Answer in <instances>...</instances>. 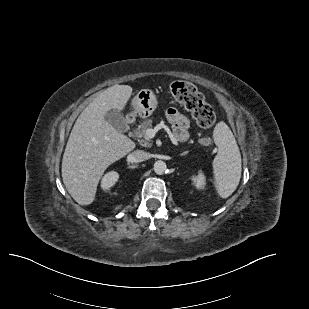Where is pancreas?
<instances>
[{
  "label": "pancreas",
  "mask_w": 309,
  "mask_h": 309,
  "mask_svg": "<svg viewBox=\"0 0 309 309\" xmlns=\"http://www.w3.org/2000/svg\"><path fill=\"white\" fill-rule=\"evenodd\" d=\"M152 123H153L152 119H146L138 126L137 129L134 130V135L137 138L141 139V143L145 147L151 146V144L149 142L145 141L144 138H145V134H146L147 129H150L152 127Z\"/></svg>",
  "instance_id": "pancreas-1"
}]
</instances>
